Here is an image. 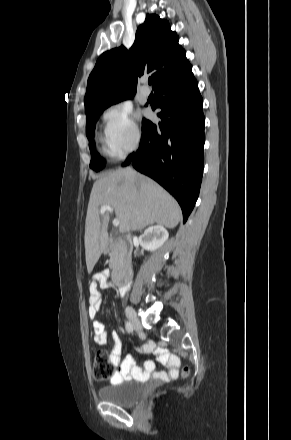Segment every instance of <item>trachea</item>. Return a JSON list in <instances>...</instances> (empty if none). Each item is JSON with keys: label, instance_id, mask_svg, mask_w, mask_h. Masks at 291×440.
Returning <instances> with one entry per match:
<instances>
[{"label": "trachea", "instance_id": "trachea-1", "mask_svg": "<svg viewBox=\"0 0 291 440\" xmlns=\"http://www.w3.org/2000/svg\"><path fill=\"white\" fill-rule=\"evenodd\" d=\"M148 83H149V85H151V83H152V80H150V79H149V80H148Z\"/></svg>", "mask_w": 291, "mask_h": 440}]
</instances>
